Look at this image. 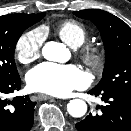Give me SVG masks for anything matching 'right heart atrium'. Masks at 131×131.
I'll return each mask as SVG.
<instances>
[{"mask_svg":"<svg viewBox=\"0 0 131 131\" xmlns=\"http://www.w3.org/2000/svg\"><path fill=\"white\" fill-rule=\"evenodd\" d=\"M45 39L44 30L32 29L19 37L15 45L17 59L22 64H29L40 57Z\"/></svg>","mask_w":131,"mask_h":131,"instance_id":"d8ad5b80","label":"right heart atrium"}]
</instances>
